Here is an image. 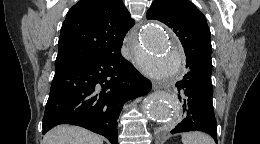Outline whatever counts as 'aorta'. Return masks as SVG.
Wrapping results in <instances>:
<instances>
[{"label":"aorta","instance_id":"obj_1","mask_svg":"<svg viewBox=\"0 0 260 144\" xmlns=\"http://www.w3.org/2000/svg\"><path fill=\"white\" fill-rule=\"evenodd\" d=\"M140 44L146 57L137 58L142 71L156 81H167L176 76L183 65L178 41L160 23L149 21L140 33ZM142 109L149 121L175 127L181 120L177 98L171 93L154 92L143 100Z\"/></svg>","mask_w":260,"mask_h":144}]
</instances>
